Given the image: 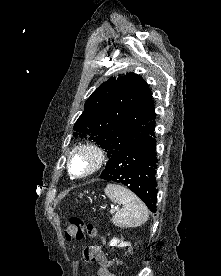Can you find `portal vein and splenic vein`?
Listing matches in <instances>:
<instances>
[{
	"label": "portal vein and splenic vein",
	"instance_id": "1",
	"mask_svg": "<svg viewBox=\"0 0 221 276\" xmlns=\"http://www.w3.org/2000/svg\"><path fill=\"white\" fill-rule=\"evenodd\" d=\"M117 209H118L117 207H115V208L111 207V209H110V213H114V212H115V210H117Z\"/></svg>",
	"mask_w": 221,
	"mask_h": 276
}]
</instances>
